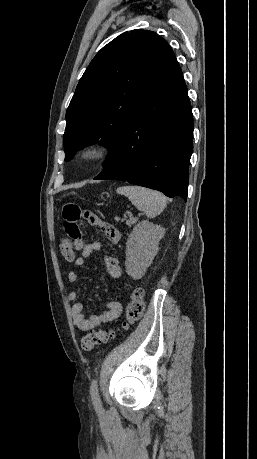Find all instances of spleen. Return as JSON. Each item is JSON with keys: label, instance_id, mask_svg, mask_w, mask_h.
Instances as JSON below:
<instances>
[{"label": "spleen", "instance_id": "3e777b00", "mask_svg": "<svg viewBox=\"0 0 257 459\" xmlns=\"http://www.w3.org/2000/svg\"><path fill=\"white\" fill-rule=\"evenodd\" d=\"M117 193L125 195L148 218L159 215L167 205L162 193L141 186H122L117 189Z\"/></svg>", "mask_w": 257, "mask_h": 459}]
</instances>
